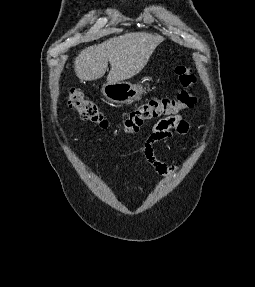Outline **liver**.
<instances>
[{"label":"liver","instance_id":"1","mask_svg":"<svg viewBox=\"0 0 255 287\" xmlns=\"http://www.w3.org/2000/svg\"><path fill=\"white\" fill-rule=\"evenodd\" d=\"M163 40V36H153L146 32H130L124 36L109 38L103 44L82 50L75 58L74 72L81 82L99 80L104 76L110 62L108 84L129 80L143 70L151 54Z\"/></svg>","mask_w":255,"mask_h":287}]
</instances>
